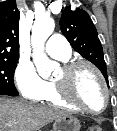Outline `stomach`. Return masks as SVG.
<instances>
[{"label": "stomach", "mask_w": 117, "mask_h": 131, "mask_svg": "<svg viewBox=\"0 0 117 131\" xmlns=\"http://www.w3.org/2000/svg\"><path fill=\"white\" fill-rule=\"evenodd\" d=\"M80 127L79 120L70 115L59 117L53 123V131H79Z\"/></svg>", "instance_id": "obj_1"}]
</instances>
